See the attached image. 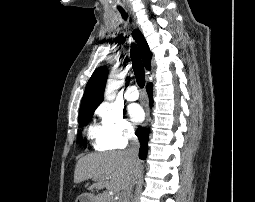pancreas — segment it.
<instances>
[{
    "instance_id": "1",
    "label": "pancreas",
    "mask_w": 255,
    "mask_h": 202,
    "mask_svg": "<svg viewBox=\"0 0 255 202\" xmlns=\"http://www.w3.org/2000/svg\"><path fill=\"white\" fill-rule=\"evenodd\" d=\"M95 202H114V199L107 193H101L95 197Z\"/></svg>"
}]
</instances>
